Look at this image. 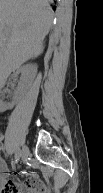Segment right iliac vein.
<instances>
[{"mask_svg":"<svg viewBox=\"0 0 103 193\" xmlns=\"http://www.w3.org/2000/svg\"><path fill=\"white\" fill-rule=\"evenodd\" d=\"M28 155H29V149L27 146H24L22 148V151H21V158H22V161H25L27 158H28Z\"/></svg>","mask_w":103,"mask_h":193,"instance_id":"63e3f726","label":"right iliac vein"}]
</instances>
